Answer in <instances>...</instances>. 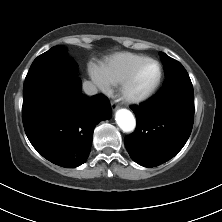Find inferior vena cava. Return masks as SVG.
Here are the masks:
<instances>
[{
    "mask_svg": "<svg viewBox=\"0 0 222 222\" xmlns=\"http://www.w3.org/2000/svg\"><path fill=\"white\" fill-rule=\"evenodd\" d=\"M83 90L89 96H92L98 93L97 87L90 81H85L83 83Z\"/></svg>",
    "mask_w": 222,
    "mask_h": 222,
    "instance_id": "1",
    "label": "inferior vena cava"
}]
</instances>
